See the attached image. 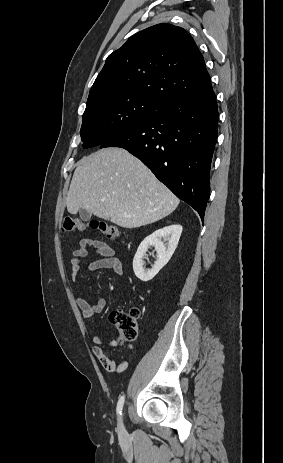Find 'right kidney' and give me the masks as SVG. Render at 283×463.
I'll list each match as a JSON object with an SVG mask.
<instances>
[{
    "label": "right kidney",
    "instance_id": "1",
    "mask_svg": "<svg viewBox=\"0 0 283 463\" xmlns=\"http://www.w3.org/2000/svg\"><path fill=\"white\" fill-rule=\"evenodd\" d=\"M182 230L181 225H170L153 232L141 242L133 259V270L138 279L145 282L151 280L168 263L177 248ZM150 246L155 247L157 260L151 269L145 270L143 258Z\"/></svg>",
    "mask_w": 283,
    "mask_h": 463
}]
</instances>
